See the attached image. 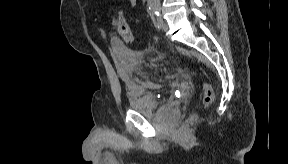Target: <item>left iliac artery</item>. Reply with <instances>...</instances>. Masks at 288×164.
I'll return each mask as SVG.
<instances>
[{
	"mask_svg": "<svg viewBox=\"0 0 288 164\" xmlns=\"http://www.w3.org/2000/svg\"><path fill=\"white\" fill-rule=\"evenodd\" d=\"M148 6L149 9L155 14L156 16L159 17L160 15V1L159 0H148Z\"/></svg>",
	"mask_w": 288,
	"mask_h": 164,
	"instance_id": "44dca946",
	"label": "left iliac artery"
}]
</instances>
